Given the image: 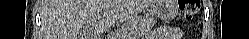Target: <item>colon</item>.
Masks as SVG:
<instances>
[{"instance_id": "1", "label": "colon", "mask_w": 249, "mask_h": 39, "mask_svg": "<svg viewBox=\"0 0 249 39\" xmlns=\"http://www.w3.org/2000/svg\"><path fill=\"white\" fill-rule=\"evenodd\" d=\"M180 9L187 20L193 19L199 12L198 0H181Z\"/></svg>"}]
</instances>
